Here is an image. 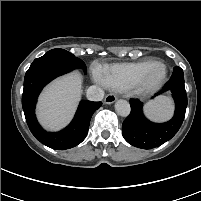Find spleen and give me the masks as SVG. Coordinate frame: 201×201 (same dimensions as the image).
<instances>
[{"label":"spleen","mask_w":201,"mask_h":201,"mask_svg":"<svg viewBox=\"0 0 201 201\" xmlns=\"http://www.w3.org/2000/svg\"><path fill=\"white\" fill-rule=\"evenodd\" d=\"M174 106L170 97L158 96L152 101H148L144 106V112L154 121H166L173 115Z\"/></svg>","instance_id":"spleen-1"}]
</instances>
